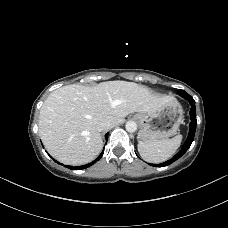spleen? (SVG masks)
<instances>
[{
    "label": "spleen",
    "mask_w": 228,
    "mask_h": 228,
    "mask_svg": "<svg viewBox=\"0 0 228 228\" xmlns=\"http://www.w3.org/2000/svg\"><path fill=\"white\" fill-rule=\"evenodd\" d=\"M182 135L160 141H140L138 151L141 157L151 163H161L168 160L179 148Z\"/></svg>",
    "instance_id": "obj_1"
}]
</instances>
